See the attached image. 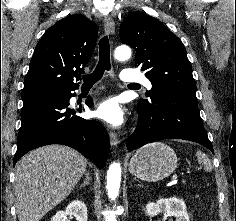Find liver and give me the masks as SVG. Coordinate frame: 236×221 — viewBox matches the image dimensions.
I'll return each mask as SVG.
<instances>
[{
    "label": "liver",
    "mask_w": 236,
    "mask_h": 221,
    "mask_svg": "<svg viewBox=\"0 0 236 221\" xmlns=\"http://www.w3.org/2000/svg\"><path fill=\"white\" fill-rule=\"evenodd\" d=\"M86 166L83 155L60 145L40 147L22 157L14 185L19 221H39L72 192Z\"/></svg>",
    "instance_id": "1"
}]
</instances>
